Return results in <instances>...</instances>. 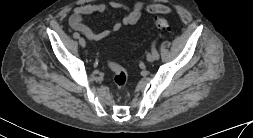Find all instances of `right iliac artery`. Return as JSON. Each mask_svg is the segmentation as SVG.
<instances>
[{
    "label": "right iliac artery",
    "instance_id": "obj_1",
    "mask_svg": "<svg viewBox=\"0 0 253 138\" xmlns=\"http://www.w3.org/2000/svg\"><path fill=\"white\" fill-rule=\"evenodd\" d=\"M73 36H74V38H79L80 37V34L79 33H77V32H75L74 34H73Z\"/></svg>",
    "mask_w": 253,
    "mask_h": 138
}]
</instances>
